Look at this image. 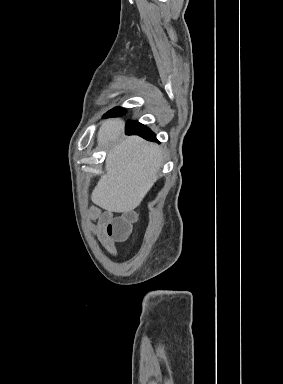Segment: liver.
I'll return each instance as SVG.
<instances>
[{
  "label": "liver",
  "mask_w": 283,
  "mask_h": 384,
  "mask_svg": "<svg viewBox=\"0 0 283 384\" xmlns=\"http://www.w3.org/2000/svg\"><path fill=\"white\" fill-rule=\"evenodd\" d=\"M125 124L119 118L105 120L98 132V144H112L106 156L105 174L101 176L91 200L107 212H133L154 186L162 166V152L157 144L129 136L122 142Z\"/></svg>",
  "instance_id": "6515ba94"
}]
</instances>
